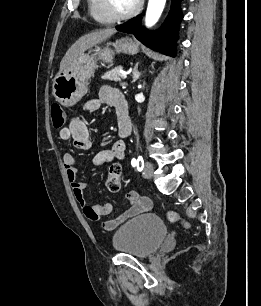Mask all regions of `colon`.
<instances>
[{
  "instance_id": "1",
  "label": "colon",
  "mask_w": 261,
  "mask_h": 306,
  "mask_svg": "<svg viewBox=\"0 0 261 306\" xmlns=\"http://www.w3.org/2000/svg\"><path fill=\"white\" fill-rule=\"evenodd\" d=\"M51 119L55 128H62L66 121V114L64 109L59 104H53L51 106ZM122 169L117 163L112 164L109 168L106 186L111 192H118L121 186ZM169 221L173 223H180L184 227L188 226V223L180 217V215L174 211H169L167 214Z\"/></svg>"
}]
</instances>
